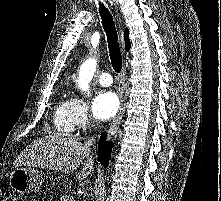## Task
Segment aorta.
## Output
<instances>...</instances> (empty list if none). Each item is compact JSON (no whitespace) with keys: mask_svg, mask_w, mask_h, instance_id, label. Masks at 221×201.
<instances>
[{"mask_svg":"<svg viewBox=\"0 0 221 201\" xmlns=\"http://www.w3.org/2000/svg\"><path fill=\"white\" fill-rule=\"evenodd\" d=\"M97 61L94 59L88 60L84 63L79 74L78 86L82 91L89 93V82L93 78L96 71Z\"/></svg>","mask_w":221,"mask_h":201,"instance_id":"1","label":"aorta"}]
</instances>
